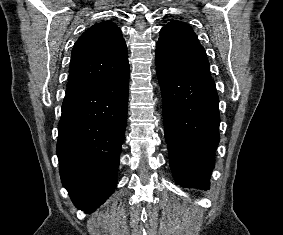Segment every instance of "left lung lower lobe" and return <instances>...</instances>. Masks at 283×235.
Listing matches in <instances>:
<instances>
[{
	"instance_id": "obj_1",
	"label": "left lung lower lobe",
	"mask_w": 283,
	"mask_h": 235,
	"mask_svg": "<svg viewBox=\"0 0 283 235\" xmlns=\"http://www.w3.org/2000/svg\"><path fill=\"white\" fill-rule=\"evenodd\" d=\"M156 72L173 177L182 187L207 190L219 143L220 115L214 80L157 64Z\"/></svg>"
}]
</instances>
